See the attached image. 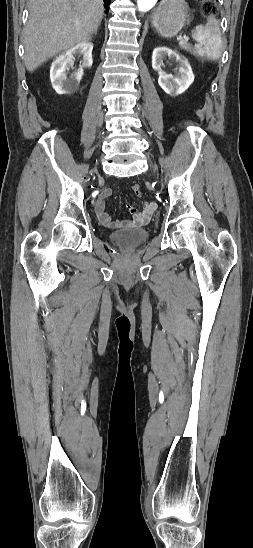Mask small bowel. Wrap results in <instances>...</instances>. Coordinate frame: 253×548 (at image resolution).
<instances>
[{
	"mask_svg": "<svg viewBox=\"0 0 253 548\" xmlns=\"http://www.w3.org/2000/svg\"><path fill=\"white\" fill-rule=\"evenodd\" d=\"M112 195V191L106 189L102 191L95 202V213L99 221L106 227L121 228V227H138L149 222L153 213L157 208V204L153 201L144 202L142 209L138 210L129 205L128 208L133 217L130 220H113L106 211V200Z\"/></svg>",
	"mask_w": 253,
	"mask_h": 548,
	"instance_id": "small-bowel-1",
	"label": "small bowel"
}]
</instances>
